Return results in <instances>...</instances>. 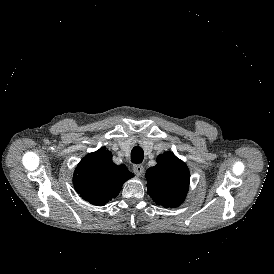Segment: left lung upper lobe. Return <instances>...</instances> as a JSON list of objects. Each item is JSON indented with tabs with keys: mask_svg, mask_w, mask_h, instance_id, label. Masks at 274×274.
I'll use <instances>...</instances> for the list:
<instances>
[{
	"mask_svg": "<svg viewBox=\"0 0 274 274\" xmlns=\"http://www.w3.org/2000/svg\"><path fill=\"white\" fill-rule=\"evenodd\" d=\"M148 194L163 207H178L185 199L190 183L186 164L172 152L157 157V165L147 170Z\"/></svg>",
	"mask_w": 274,
	"mask_h": 274,
	"instance_id": "obj_1",
	"label": "left lung upper lobe"
}]
</instances>
